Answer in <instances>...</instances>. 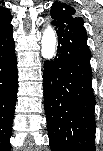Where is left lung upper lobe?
Segmentation results:
<instances>
[{"instance_id":"obj_1","label":"left lung upper lobe","mask_w":103,"mask_h":151,"mask_svg":"<svg viewBox=\"0 0 103 151\" xmlns=\"http://www.w3.org/2000/svg\"><path fill=\"white\" fill-rule=\"evenodd\" d=\"M75 9L66 3L56 2L51 8V17L56 28H67L70 24H83V19L75 15Z\"/></svg>"}]
</instances>
